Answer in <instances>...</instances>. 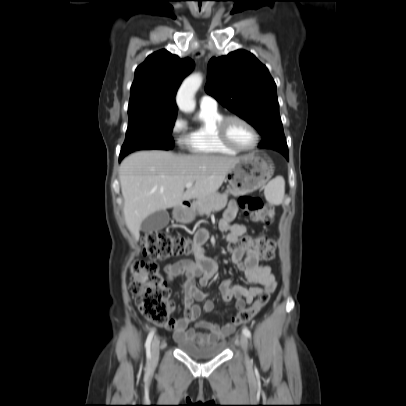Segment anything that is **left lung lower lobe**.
<instances>
[{
    "instance_id": "1",
    "label": "left lung lower lobe",
    "mask_w": 406,
    "mask_h": 406,
    "mask_svg": "<svg viewBox=\"0 0 406 406\" xmlns=\"http://www.w3.org/2000/svg\"><path fill=\"white\" fill-rule=\"evenodd\" d=\"M282 154H284V156H285L287 159H289L288 151L282 152Z\"/></svg>"
}]
</instances>
